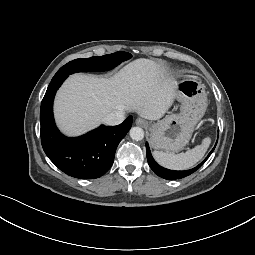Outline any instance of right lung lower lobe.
<instances>
[{"label": "right lung lower lobe", "instance_id": "right-lung-lower-lobe-1", "mask_svg": "<svg viewBox=\"0 0 255 255\" xmlns=\"http://www.w3.org/2000/svg\"><path fill=\"white\" fill-rule=\"evenodd\" d=\"M68 75L50 82L41 103V143L49 159L64 173L80 179L104 175L112 166L116 148L132 125V116L117 126H100L77 138H68L57 129L53 118V100Z\"/></svg>", "mask_w": 255, "mask_h": 255}]
</instances>
